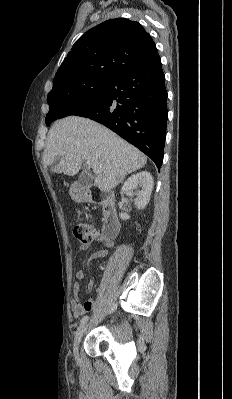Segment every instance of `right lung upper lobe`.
Returning a JSON list of instances; mask_svg holds the SVG:
<instances>
[{
    "label": "right lung upper lobe",
    "mask_w": 232,
    "mask_h": 399,
    "mask_svg": "<svg viewBox=\"0 0 232 399\" xmlns=\"http://www.w3.org/2000/svg\"><path fill=\"white\" fill-rule=\"evenodd\" d=\"M156 51L152 38L138 22L125 18L105 21L75 42L48 95L62 93L84 80L111 78Z\"/></svg>",
    "instance_id": "cb5924a9"
}]
</instances>
